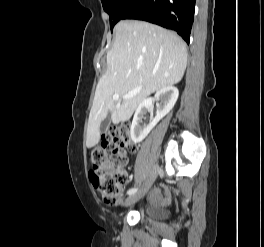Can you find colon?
Masks as SVG:
<instances>
[{
  "instance_id": "5ec220e1",
  "label": "colon",
  "mask_w": 264,
  "mask_h": 247,
  "mask_svg": "<svg viewBox=\"0 0 264 247\" xmlns=\"http://www.w3.org/2000/svg\"><path fill=\"white\" fill-rule=\"evenodd\" d=\"M134 150L128 128L116 126L103 133L100 146L91 152L90 179L108 205L121 202L122 189L128 181L127 153Z\"/></svg>"
}]
</instances>
